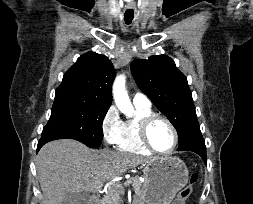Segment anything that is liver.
<instances>
[{
  "instance_id": "liver-1",
  "label": "liver",
  "mask_w": 253,
  "mask_h": 204,
  "mask_svg": "<svg viewBox=\"0 0 253 204\" xmlns=\"http://www.w3.org/2000/svg\"><path fill=\"white\" fill-rule=\"evenodd\" d=\"M148 161L126 152L91 149L71 139L49 142L36 160L42 204H62L68 194L96 193L106 181Z\"/></svg>"
}]
</instances>
